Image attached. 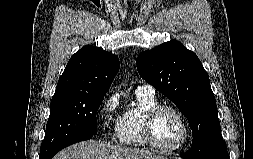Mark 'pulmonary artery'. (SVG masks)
<instances>
[{"instance_id": "e3ab8cb5", "label": "pulmonary artery", "mask_w": 253, "mask_h": 159, "mask_svg": "<svg viewBox=\"0 0 253 159\" xmlns=\"http://www.w3.org/2000/svg\"><path fill=\"white\" fill-rule=\"evenodd\" d=\"M136 93H146V94H150V95H154L155 94V90L151 85H139L136 88Z\"/></svg>"}]
</instances>
